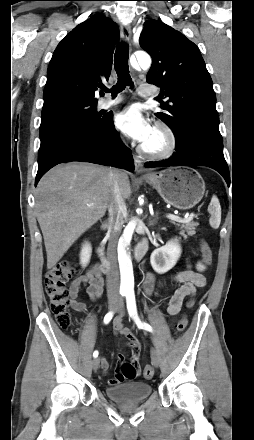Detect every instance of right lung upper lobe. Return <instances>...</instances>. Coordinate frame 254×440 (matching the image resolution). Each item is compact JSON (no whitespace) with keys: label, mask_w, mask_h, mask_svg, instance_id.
<instances>
[{"label":"right lung upper lobe","mask_w":254,"mask_h":440,"mask_svg":"<svg viewBox=\"0 0 254 440\" xmlns=\"http://www.w3.org/2000/svg\"><path fill=\"white\" fill-rule=\"evenodd\" d=\"M119 32L115 22L95 14L58 44L47 71L44 102L59 96L96 100L95 90L108 80Z\"/></svg>","instance_id":"obj_1"}]
</instances>
